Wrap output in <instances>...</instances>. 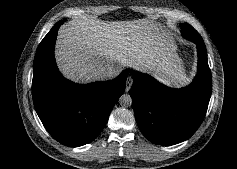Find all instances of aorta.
Wrapping results in <instances>:
<instances>
[{
    "instance_id": "obj_1",
    "label": "aorta",
    "mask_w": 237,
    "mask_h": 169,
    "mask_svg": "<svg viewBox=\"0 0 237 169\" xmlns=\"http://www.w3.org/2000/svg\"><path fill=\"white\" fill-rule=\"evenodd\" d=\"M119 104L122 107H130L132 105V98L129 94H123L120 98H119Z\"/></svg>"
}]
</instances>
